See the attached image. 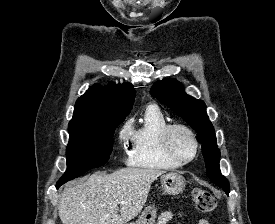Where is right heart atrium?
<instances>
[{
  "mask_svg": "<svg viewBox=\"0 0 275 224\" xmlns=\"http://www.w3.org/2000/svg\"><path fill=\"white\" fill-rule=\"evenodd\" d=\"M118 138L120 144L125 147L131 138V128L128 125L123 126L119 132Z\"/></svg>",
  "mask_w": 275,
  "mask_h": 224,
  "instance_id": "obj_1",
  "label": "right heart atrium"
}]
</instances>
